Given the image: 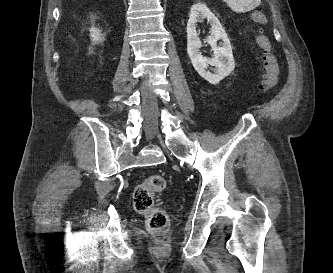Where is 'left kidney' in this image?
<instances>
[{
  "label": "left kidney",
  "instance_id": "1",
  "mask_svg": "<svg viewBox=\"0 0 333 273\" xmlns=\"http://www.w3.org/2000/svg\"><path fill=\"white\" fill-rule=\"evenodd\" d=\"M204 18L211 25V35L208 36L207 42L214 52L212 59H207L200 53L202 43L196 32V25ZM219 39H222L220 46L217 45ZM187 52L194 69L211 84H218L235 67L230 40L217 17L203 3L194 4L190 10L187 23ZM209 66H215L214 73L207 71Z\"/></svg>",
  "mask_w": 333,
  "mask_h": 273
}]
</instances>
